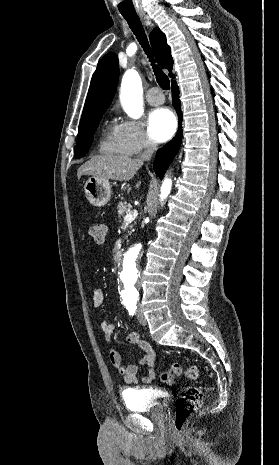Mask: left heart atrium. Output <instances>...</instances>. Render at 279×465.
I'll use <instances>...</instances> for the list:
<instances>
[{"label":"left heart atrium","instance_id":"left-heart-atrium-1","mask_svg":"<svg viewBox=\"0 0 279 465\" xmlns=\"http://www.w3.org/2000/svg\"><path fill=\"white\" fill-rule=\"evenodd\" d=\"M147 126L151 138L158 142H164L174 134L177 122L169 109L159 108L150 113Z\"/></svg>","mask_w":279,"mask_h":465}]
</instances>
